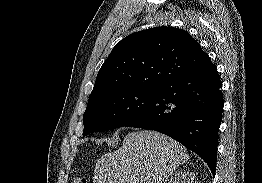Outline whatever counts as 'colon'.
<instances>
[{
    "instance_id": "obj_1",
    "label": "colon",
    "mask_w": 262,
    "mask_h": 183,
    "mask_svg": "<svg viewBox=\"0 0 262 183\" xmlns=\"http://www.w3.org/2000/svg\"><path fill=\"white\" fill-rule=\"evenodd\" d=\"M73 183H88V181L84 177H77L73 180Z\"/></svg>"
}]
</instances>
